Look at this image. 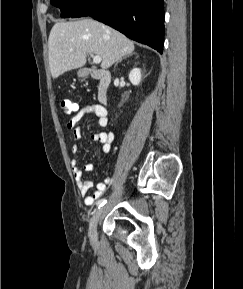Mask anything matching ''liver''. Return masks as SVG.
<instances>
[{
	"mask_svg": "<svg viewBox=\"0 0 243 289\" xmlns=\"http://www.w3.org/2000/svg\"><path fill=\"white\" fill-rule=\"evenodd\" d=\"M134 43L119 31L93 19L56 23L48 39L50 71L57 78L86 64L87 54L101 57L103 70L132 54Z\"/></svg>",
	"mask_w": 243,
	"mask_h": 289,
	"instance_id": "obj_1",
	"label": "liver"
}]
</instances>
